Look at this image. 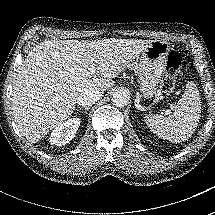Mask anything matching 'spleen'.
Masks as SVG:
<instances>
[{"label": "spleen", "mask_w": 215, "mask_h": 215, "mask_svg": "<svg viewBox=\"0 0 215 215\" xmlns=\"http://www.w3.org/2000/svg\"><path fill=\"white\" fill-rule=\"evenodd\" d=\"M201 102L198 89L188 83L175 111L168 116L147 115L145 123L159 137L171 142L186 141L198 126Z\"/></svg>", "instance_id": "spleen-1"}]
</instances>
